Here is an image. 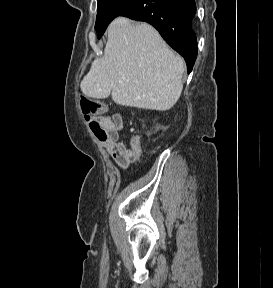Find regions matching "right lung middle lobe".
Listing matches in <instances>:
<instances>
[{
	"label": "right lung middle lobe",
	"instance_id": "dd1d6c3e",
	"mask_svg": "<svg viewBox=\"0 0 273 288\" xmlns=\"http://www.w3.org/2000/svg\"><path fill=\"white\" fill-rule=\"evenodd\" d=\"M137 0H97L95 30L100 38L110 22L129 9Z\"/></svg>",
	"mask_w": 273,
	"mask_h": 288
}]
</instances>
